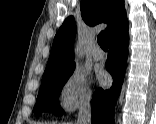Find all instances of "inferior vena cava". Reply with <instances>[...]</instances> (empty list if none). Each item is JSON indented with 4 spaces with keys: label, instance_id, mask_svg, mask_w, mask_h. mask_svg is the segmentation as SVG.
I'll return each mask as SVG.
<instances>
[{
    "label": "inferior vena cava",
    "instance_id": "inferior-vena-cava-1",
    "mask_svg": "<svg viewBox=\"0 0 156 124\" xmlns=\"http://www.w3.org/2000/svg\"><path fill=\"white\" fill-rule=\"evenodd\" d=\"M77 124H91L90 98L86 99L80 106Z\"/></svg>",
    "mask_w": 156,
    "mask_h": 124
}]
</instances>
